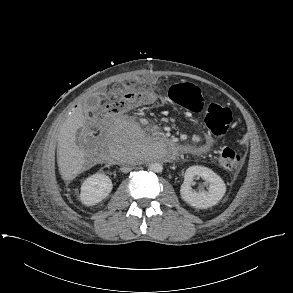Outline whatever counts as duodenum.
Here are the masks:
<instances>
[{"label": "duodenum", "instance_id": "410a0bca", "mask_svg": "<svg viewBox=\"0 0 293 293\" xmlns=\"http://www.w3.org/2000/svg\"><path fill=\"white\" fill-rule=\"evenodd\" d=\"M170 140V139H168ZM172 145L174 146L175 151L177 150H183L185 149L186 146H179L178 144H176L175 142H172ZM117 157V153L114 152L112 153V155L110 156V159L115 160ZM170 160H174V157H171Z\"/></svg>", "mask_w": 293, "mask_h": 293}]
</instances>
